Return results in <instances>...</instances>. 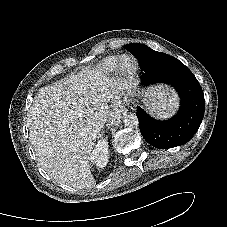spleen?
<instances>
[{
    "label": "spleen",
    "instance_id": "1",
    "mask_svg": "<svg viewBox=\"0 0 227 227\" xmlns=\"http://www.w3.org/2000/svg\"><path fill=\"white\" fill-rule=\"evenodd\" d=\"M173 97L174 95H170L168 91L159 89L154 92L152 98L149 99L151 113L157 114L161 118L171 115L176 108V102L172 101Z\"/></svg>",
    "mask_w": 227,
    "mask_h": 227
}]
</instances>
